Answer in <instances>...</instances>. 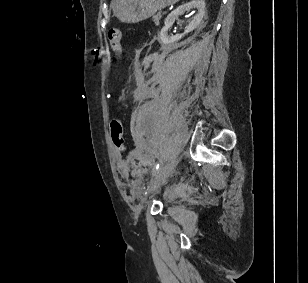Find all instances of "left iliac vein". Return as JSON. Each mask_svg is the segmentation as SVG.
Wrapping results in <instances>:
<instances>
[{"label":"left iliac vein","instance_id":"4c4485c4","mask_svg":"<svg viewBox=\"0 0 308 283\" xmlns=\"http://www.w3.org/2000/svg\"><path fill=\"white\" fill-rule=\"evenodd\" d=\"M177 161L174 160L168 164H166L160 172L155 176L152 180L149 187V194H153L172 174L174 168L176 166Z\"/></svg>","mask_w":308,"mask_h":283}]
</instances>
